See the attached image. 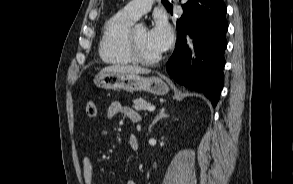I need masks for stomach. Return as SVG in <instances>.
I'll list each match as a JSON object with an SVG mask.
<instances>
[{
	"label": "stomach",
	"mask_w": 293,
	"mask_h": 184,
	"mask_svg": "<svg viewBox=\"0 0 293 184\" xmlns=\"http://www.w3.org/2000/svg\"><path fill=\"white\" fill-rule=\"evenodd\" d=\"M94 84L107 90H126L128 92L146 91L154 95H165L169 88L159 77H142L138 74L120 72H100Z\"/></svg>",
	"instance_id": "stomach-1"
}]
</instances>
